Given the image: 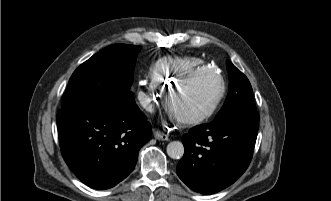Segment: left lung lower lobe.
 I'll use <instances>...</instances> for the list:
<instances>
[{
	"instance_id": "obj_1",
	"label": "left lung lower lobe",
	"mask_w": 331,
	"mask_h": 201,
	"mask_svg": "<svg viewBox=\"0 0 331 201\" xmlns=\"http://www.w3.org/2000/svg\"><path fill=\"white\" fill-rule=\"evenodd\" d=\"M257 112L234 114L196 126L182 137L179 178L192 190L212 194L233 184L247 169L258 132Z\"/></svg>"
}]
</instances>
